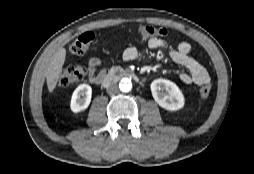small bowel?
<instances>
[{
	"label": "small bowel",
	"instance_id": "obj_1",
	"mask_svg": "<svg viewBox=\"0 0 254 174\" xmlns=\"http://www.w3.org/2000/svg\"><path fill=\"white\" fill-rule=\"evenodd\" d=\"M150 49L159 50L165 48V43L161 39L152 38L148 41ZM191 46L187 42H181L176 49L169 52L171 60L187 69V72L180 74V79L185 84L204 85L209 82V75L206 69L194 58L190 56ZM141 56L140 51L136 47H128L123 52L125 61H133ZM105 74L102 68V61L99 58H91L87 62V75L92 83H99L100 78Z\"/></svg>",
	"mask_w": 254,
	"mask_h": 174
}]
</instances>
